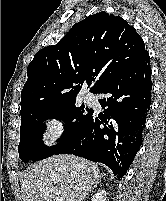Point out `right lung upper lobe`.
Masks as SVG:
<instances>
[{
  "instance_id": "1",
  "label": "right lung upper lobe",
  "mask_w": 166,
  "mask_h": 201,
  "mask_svg": "<svg viewBox=\"0 0 166 201\" xmlns=\"http://www.w3.org/2000/svg\"><path fill=\"white\" fill-rule=\"evenodd\" d=\"M143 39L123 18L99 12L76 23L27 68L21 115L75 101L86 82L96 93L147 54Z\"/></svg>"
}]
</instances>
